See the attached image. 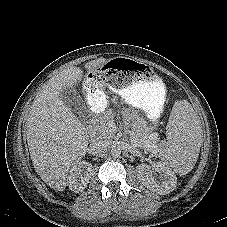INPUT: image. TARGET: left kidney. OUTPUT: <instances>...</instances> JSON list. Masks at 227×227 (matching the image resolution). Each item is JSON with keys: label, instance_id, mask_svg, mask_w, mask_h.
I'll return each instance as SVG.
<instances>
[{"label": "left kidney", "instance_id": "left-kidney-1", "mask_svg": "<svg viewBox=\"0 0 227 227\" xmlns=\"http://www.w3.org/2000/svg\"><path fill=\"white\" fill-rule=\"evenodd\" d=\"M137 177L149 190L160 195L172 192L177 185L175 173L164 162H157L154 168L145 163L139 164L137 166Z\"/></svg>", "mask_w": 227, "mask_h": 227}]
</instances>
